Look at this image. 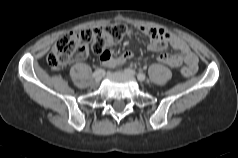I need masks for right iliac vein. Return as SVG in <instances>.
Instances as JSON below:
<instances>
[{
	"label": "right iliac vein",
	"instance_id": "right-iliac-vein-1",
	"mask_svg": "<svg viewBox=\"0 0 238 158\" xmlns=\"http://www.w3.org/2000/svg\"><path fill=\"white\" fill-rule=\"evenodd\" d=\"M102 79L101 75H98L97 77H95V82L98 83L100 82Z\"/></svg>",
	"mask_w": 238,
	"mask_h": 158
}]
</instances>
